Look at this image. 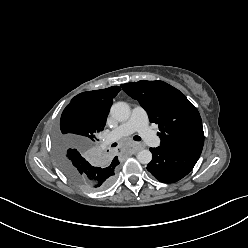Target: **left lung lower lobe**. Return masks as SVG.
Here are the masks:
<instances>
[{
  "mask_svg": "<svg viewBox=\"0 0 248 248\" xmlns=\"http://www.w3.org/2000/svg\"><path fill=\"white\" fill-rule=\"evenodd\" d=\"M204 141H188L150 148L153 158L147 170L160 182L174 183L186 176L198 161Z\"/></svg>",
  "mask_w": 248,
  "mask_h": 248,
  "instance_id": "0a47b994",
  "label": "left lung lower lobe"
}]
</instances>
